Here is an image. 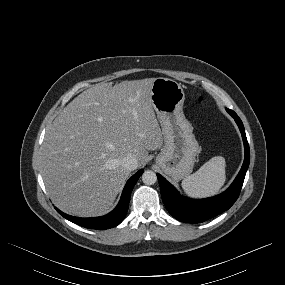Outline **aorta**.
I'll return each instance as SVG.
<instances>
[{"label": "aorta", "mask_w": 285, "mask_h": 285, "mask_svg": "<svg viewBox=\"0 0 285 285\" xmlns=\"http://www.w3.org/2000/svg\"><path fill=\"white\" fill-rule=\"evenodd\" d=\"M142 181L146 185H153L157 181V175L154 171L147 170L142 174Z\"/></svg>", "instance_id": "1"}]
</instances>
